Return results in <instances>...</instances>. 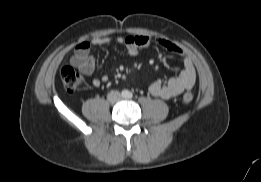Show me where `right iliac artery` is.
<instances>
[{
	"label": "right iliac artery",
	"mask_w": 261,
	"mask_h": 182,
	"mask_svg": "<svg viewBox=\"0 0 261 182\" xmlns=\"http://www.w3.org/2000/svg\"><path fill=\"white\" fill-rule=\"evenodd\" d=\"M122 95H123V96H125V95H126V92H125V91H123V92H122Z\"/></svg>",
	"instance_id": "right-iliac-artery-1"
}]
</instances>
